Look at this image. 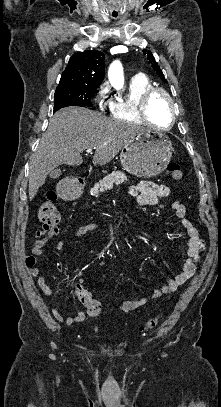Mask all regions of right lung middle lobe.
<instances>
[{
  "instance_id": "right-lung-middle-lobe-1",
  "label": "right lung middle lobe",
  "mask_w": 221,
  "mask_h": 407,
  "mask_svg": "<svg viewBox=\"0 0 221 407\" xmlns=\"http://www.w3.org/2000/svg\"><path fill=\"white\" fill-rule=\"evenodd\" d=\"M96 89L84 86L56 88L54 94V112L67 106L92 107L90 97Z\"/></svg>"
}]
</instances>
